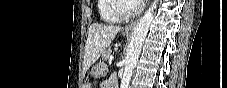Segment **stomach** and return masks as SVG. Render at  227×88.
Masks as SVG:
<instances>
[{
    "label": "stomach",
    "instance_id": "1",
    "mask_svg": "<svg viewBox=\"0 0 227 88\" xmlns=\"http://www.w3.org/2000/svg\"><path fill=\"white\" fill-rule=\"evenodd\" d=\"M126 35V33H124ZM106 72V67L102 63L94 65L91 69L90 75L94 78L103 76Z\"/></svg>",
    "mask_w": 227,
    "mask_h": 88
}]
</instances>
